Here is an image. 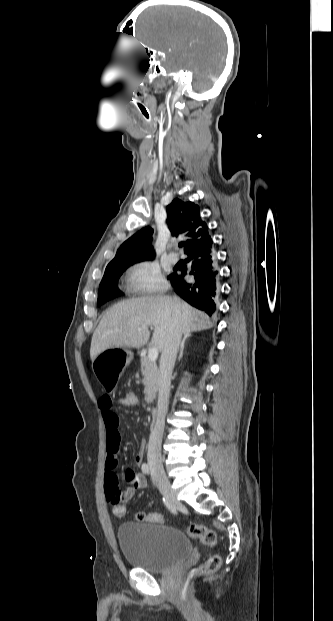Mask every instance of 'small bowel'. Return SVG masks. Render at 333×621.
Listing matches in <instances>:
<instances>
[{
  "label": "small bowel",
  "instance_id": "small-bowel-1",
  "mask_svg": "<svg viewBox=\"0 0 333 621\" xmlns=\"http://www.w3.org/2000/svg\"><path fill=\"white\" fill-rule=\"evenodd\" d=\"M121 404V399L119 400ZM99 409L102 414L103 422L107 435V458L105 462V491L108 502L112 508L121 505L129 501L137 490H140L146 486V480L142 474L135 471L132 468L127 469L125 473V481L127 487L121 489L119 487V478L114 472L117 467V457L120 448V431H119V417L113 410V399L109 395H103L100 397ZM144 457V442H140V448L135 455V464L140 466Z\"/></svg>",
  "mask_w": 333,
  "mask_h": 621
}]
</instances>
